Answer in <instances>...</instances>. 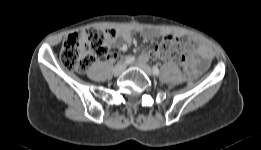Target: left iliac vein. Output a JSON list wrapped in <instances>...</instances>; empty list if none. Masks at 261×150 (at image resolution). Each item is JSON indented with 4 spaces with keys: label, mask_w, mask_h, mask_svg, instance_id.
<instances>
[{
    "label": "left iliac vein",
    "mask_w": 261,
    "mask_h": 150,
    "mask_svg": "<svg viewBox=\"0 0 261 150\" xmlns=\"http://www.w3.org/2000/svg\"><path fill=\"white\" fill-rule=\"evenodd\" d=\"M136 66L139 67V69L142 70L148 76L152 75L151 68L149 66H146L143 61L136 62Z\"/></svg>",
    "instance_id": "4c4485c4"
}]
</instances>
